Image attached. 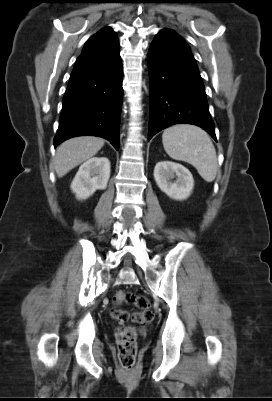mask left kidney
<instances>
[{"mask_svg": "<svg viewBox=\"0 0 272 401\" xmlns=\"http://www.w3.org/2000/svg\"><path fill=\"white\" fill-rule=\"evenodd\" d=\"M176 177V181H172ZM154 179L166 195L175 200L187 199L194 187L191 172L183 165L171 161L158 162L154 168Z\"/></svg>", "mask_w": 272, "mask_h": 401, "instance_id": "5707ae66", "label": "left kidney"}]
</instances>
